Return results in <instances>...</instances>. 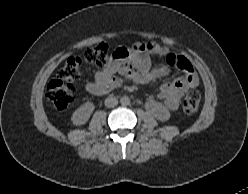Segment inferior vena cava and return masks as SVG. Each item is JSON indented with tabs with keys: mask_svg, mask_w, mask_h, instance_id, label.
<instances>
[{
	"mask_svg": "<svg viewBox=\"0 0 248 194\" xmlns=\"http://www.w3.org/2000/svg\"><path fill=\"white\" fill-rule=\"evenodd\" d=\"M118 104V100L115 97H108L105 99V106L106 107H115Z\"/></svg>",
	"mask_w": 248,
	"mask_h": 194,
	"instance_id": "602c4592",
	"label": "inferior vena cava"
}]
</instances>
